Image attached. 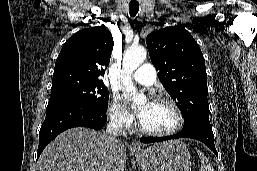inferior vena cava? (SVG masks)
Wrapping results in <instances>:
<instances>
[{"instance_id": "obj_1", "label": "inferior vena cava", "mask_w": 257, "mask_h": 171, "mask_svg": "<svg viewBox=\"0 0 257 171\" xmlns=\"http://www.w3.org/2000/svg\"><path fill=\"white\" fill-rule=\"evenodd\" d=\"M106 134L113 138H116L119 135L126 136L127 133L123 129L121 119L117 117H111L110 122L107 125Z\"/></svg>"}]
</instances>
